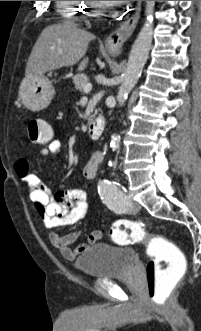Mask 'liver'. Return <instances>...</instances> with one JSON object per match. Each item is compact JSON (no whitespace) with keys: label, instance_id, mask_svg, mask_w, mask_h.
<instances>
[{"label":"liver","instance_id":"liver-1","mask_svg":"<svg viewBox=\"0 0 201 331\" xmlns=\"http://www.w3.org/2000/svg\"><path fill=\"white\" fill-rule=\"evenodd\" d=\"M95 36L78 28L73 22L46 27L38 37L25 70V78L44 75L45 72L73 66L85 55L88 43ZM89 58H83L78 71H83Z\"/></svg>","mask_w":201,"mask_h":331}]
</instances>
